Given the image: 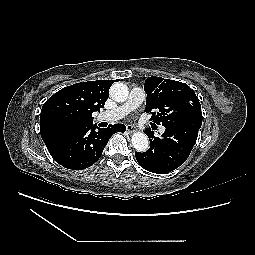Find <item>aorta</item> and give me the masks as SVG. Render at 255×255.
Segmentation results:
<instances>
[{
  "instance_id": "1",
  "label": "aorta",
  "mask_w": 255,
  "mask_h": 255,
  "mask_svg": "<svg viewBox=\"0 0 255 255\" xmlns=\"http://www.w3.org/2000/svg\"><path fill=\"white\" fill-rule=\"evenodd\" d=\"M128 87L121 83L116 82L110 88V96L116 102H124L128 97ZM132 145L138 152H145L149 148V139L143 132H135L131 138Z\"/></svg>"
}]
</instances>
